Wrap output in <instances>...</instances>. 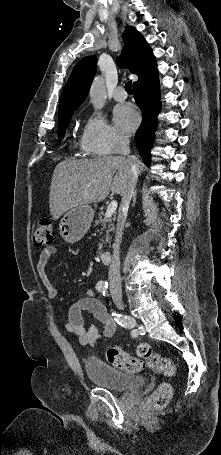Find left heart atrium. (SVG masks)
<instances>
[{
	"label": "left heart atrium",
	"mask_w": 221,
	"mask_h": 455,
	"mask_svg": "<svg viewBox=\"0 0 221 455\" xmlns=\"http://www.w3.org/2000/svg\"><path fill=\"white\" fill-rule=\"evenodd\" d=\"M115 125L123 132H132L139 123V115L130 104L118 105L113 111Z\"/></svg>",
	"instance_id": "left-heart-atrium-1"
}]
</instances>
